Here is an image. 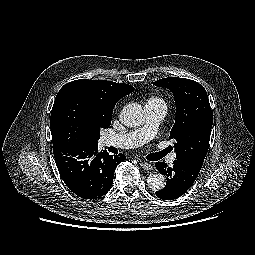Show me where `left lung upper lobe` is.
<instances>
[{
	"label": "left lung upper lobe",
	"instance_id": "5c2ea615",
	"mask_svg": "<svg viewBox=\"0 0 255 255\" xmlns=\"http://www.w3.org/2000/svg\"><path fill=\"white\" fill-rule=\"evenodd\" d=\"M153 84L169 89L175 99L176 117L169 139L175 140L176 158L202 167L213 124L206 90L193 80L179 77L163 78Z\"/></svg>",
	"mask_w": 255,
	"mask_h": 255
}]
</instances>
